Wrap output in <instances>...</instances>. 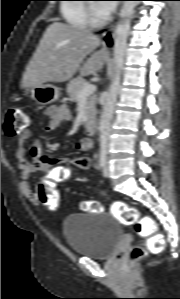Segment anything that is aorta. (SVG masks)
I'll return each instance as SVG.
<instances>
[{"label": "aorta", "instance_id": "1", "mask_svg": "<svg viewBox=\"0 0 180 299\" xmlns=\"http://www.w3.org/2000/svg\"><path fill=\"white\" fill-rule=\"evenodd\" d=\"M137 1H124L121 9V18L115 30L114 61L116 73L110 85L109 92L103 104V111L100 120V144L105 148L108 145L111 130V120L113 118L117 96L120 90L121 75L126 54V43L130 29V22Z\"/></svg>", "mask_w": 180, "mask_h": 299}]
</instances>
